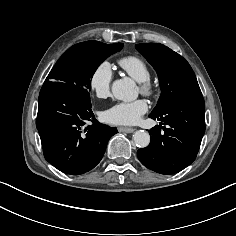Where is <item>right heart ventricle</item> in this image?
Here are the masks:
<instances>
[{
  "instance_id": "1",
  "label": "right heart ventricle",
  "mask_w": 236,
  "mask_h": 236,
  "mask_svg": "<svg viewBox=\"0 0 236 236\" xmlns=\"http://www.w3.org/2000/svg\"><path fill=\"white\" fill-rule=\"evenodd\" d=\"M118 63L135 80L139 82L149 80V67L141 58L129 55L120 58Z\"/></svg>"
}]
</instances>
